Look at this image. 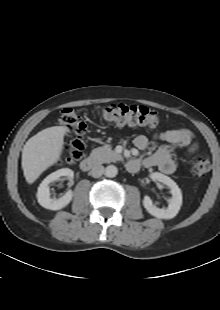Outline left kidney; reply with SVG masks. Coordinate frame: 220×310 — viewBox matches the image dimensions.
Masks as SVG:
<instances>
[{
	"instance_id": "obj_1",
	"label": "left kidney",
	"mask_w": 220,
	"mask_h": 310,
	"mask_svg": "<svg viewBox=\"0 0 220 310\" xmlns=\"http://www.w3.org/2000/svg\"><path fill=\"white\" fill-rule=\"evenodd\" d=\"M151 179L154 181H159L170 188L172 197L168 200V207L166 209L158 208L153 203L150 197L145 196L143 200V205L145 209L151 215L160 219H172L174 218L181 206H182V193L178 185L168 176L155 172L150 175Z\"/></svg>"
}]
</instances>
